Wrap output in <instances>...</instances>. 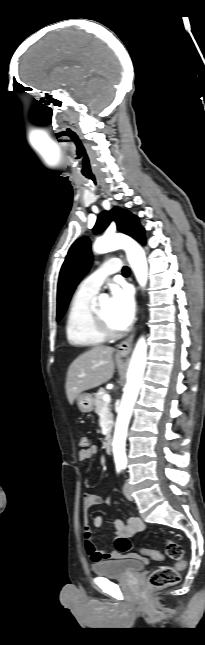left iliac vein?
Segmentation results:
<instances>
[{"instance_id":"left-iliac-vein-1","label":"left iliac vein","mask_w":205,"mask_h":645,"mask_svg":"<svg viewBox=\"0 0 205 645\" xmlns=\"http://www.w3.org/2000/svg\"><path fill=\"white\" fill-rule=\"evenodd\" d=\"M123 491H124L125 497L128 500L132 501L133 496H132L131 488H130V485L127 482L124 484Z\"/></svg>"}]
</instances>
